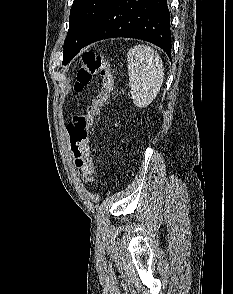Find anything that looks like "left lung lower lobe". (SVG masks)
<instances>
[{"mask_svg":"<svg viewBox=\"0 0 233 294\" xmlns=\"http://www.w3.org/2000/svg\"><path fill=\"white\" fill-rule=\"evenodd\" d=\"M115 37L151 42L171 58L167 0H110L82 48L98 40Z\"/></svg>","mask_w":233,"mask_h":294,"instance_id":"1","label":"left lung lower lobe"}]
</instances>
